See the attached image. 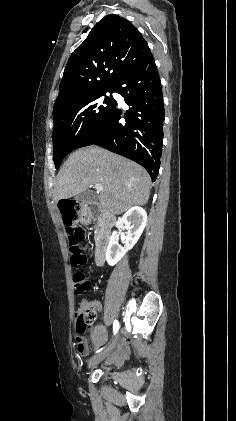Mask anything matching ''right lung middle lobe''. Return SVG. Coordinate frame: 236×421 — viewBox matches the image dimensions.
<instances>
[{
    "label": "right lung middle lobe",
    "mask_w": 236,
    "mask_h": 421,
    "mask_svg": "<svg viewBox=\"0 0 236 421\" xmlns=\"http://www.w3.org/2000/svg\"><path fill=\"white\" fill-rule=\"evenodd\" d=\"M106 92L115 91L110 88L79 96L53 110V160L56 169L65 156L94 132L115 107V99L112 95L107 97Z\"/></svg>",
    "instance_id": "obj_1"
}]
</instances>
